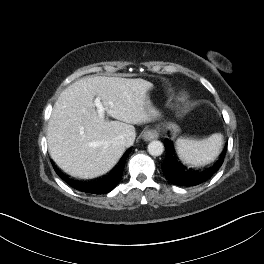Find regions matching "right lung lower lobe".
<instances>
[{
  "mask_svg": "<svg viewBox=\"0 0 264 264\" xmlns=\"http://www.w3.org/2000/svg\"><path fill=\"white\" fill-rule=\"evenodd\" d=\"M129 153L130 150L125 153L118 165L109 174L91 182H79L71 180L65 177L58 169H56V173L76 190L93 194L108 193L113 190L121 180L124 164Z\"/></svg>",
  "mask_w": 264,
  "mask_h": 264,
  "instance_id": "98d812e1",
  "label": "right lung lower lobe"
}]
</instances>
